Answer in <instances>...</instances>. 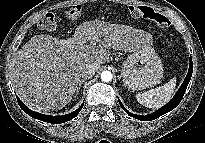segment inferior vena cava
<instances>
[{
	"label": "inferior vena cava",
	"mask_w": 205,
	"mask_h": 143,
	"mask_svg": "<svg viewBox=\"0 0 205 143\" xmlns=\"http://www.w3.org/2000/svg\"><path fill=\"white\" fill-rule=\"evenodd\" d=\"M99 66L97 64H87L81 71L80 76L85 79L92 78Z\"/></svg>",
	"instance_id": "obj_1"
}]
</instances>
